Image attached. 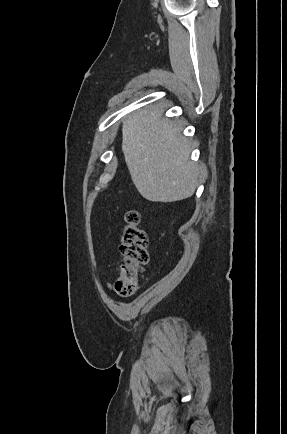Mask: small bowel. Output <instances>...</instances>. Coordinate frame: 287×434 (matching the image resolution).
I'll list each match as a JSON object with an SVG mask.
<instances>
[{
  "instance_id": "c3829d8e",
  "label": "small bowel",
  "mask_w": 287,
  "mask_h": 434,
  "mask_svg": "<svg viewBox=\"0 0 287 434\" xmlns=\"http://www.w3.org/2000/svg\"><path fill=\"white\" fill-rule=\"evenodd\" d=\"M107 288H111V284L109 282L106 283Z\"/></svg>"
}]
</instances>
